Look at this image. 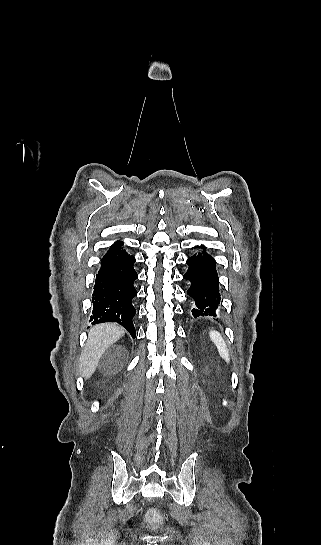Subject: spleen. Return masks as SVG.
<instances>
[{
  "instance_id": "obj_1",
  "label": "spleen",
  "mask_w": 321,
  "mask_h": 545,
  "mask_svg": "<svg viewBox=\"0 0 321 545\" xmlns=\"http://www.w3.org/2000/svg\"><path fill=\"white\" fill-rule=\"evenodd\" d=\"M209 337L212 343L216 345L220 357L225 359L226 363H230L229 349H227V345L220 333L218 331H209Z\"/></svg>"
}]
</instances>
